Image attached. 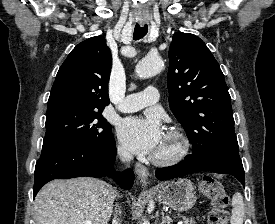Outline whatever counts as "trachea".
I'll return each mask as SVG.
<instances>
[{
    "mask_svg": "<svg viewBox=\"0 0 275 224\" xmlns=\"http://www.w3.org/2000/svg\"><path fill=\"white\" fill-rule=\"evenodd\" d=\"M148 32V26L145 25L143 27H140L139 25H136L134 28V34H133V38L135 40H139L141 38H143Z\"/></svg>",
    "mask_w": 275,
    "mask_h": 224,
    "instance_id": "3493384b",
    "label": "trachea"
}]
</instances>
